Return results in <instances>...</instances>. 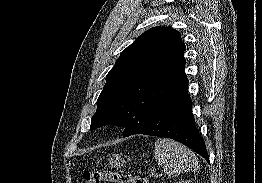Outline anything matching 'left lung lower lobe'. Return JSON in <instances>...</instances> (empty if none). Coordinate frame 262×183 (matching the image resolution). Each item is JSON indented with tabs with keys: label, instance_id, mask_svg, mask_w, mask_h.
<instances>
[{
	"label": "left lung lower lobe",
	"instance_id": "obj_1",
	"mask_svg": "<svg viewBox=\"0 0 262 183\" xmlns=\"http://www.w3.org/2000/svg\"><path fill=\"white\" fill-rule=\"evenodd\" d=\"M136 134L174 139L204 157L209 163L205 143L197 131L192 114V102L188 94L187 78L155 110L146 126Z\"/></svg>",
	"mask_w": 262,
	"mask_h": 183
}]
</instances>
